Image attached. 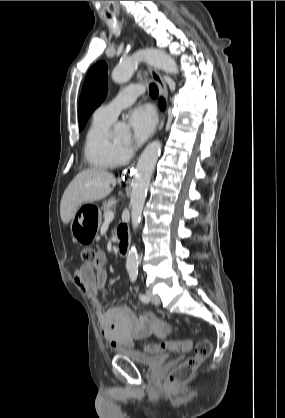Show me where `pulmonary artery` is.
I'll use <instances>...</instances> for the list:
<instances>
[{
	"mask_svg": "<svg viewBox=\"0 0 285 418\" xmlns=\"http://www.w3.org/2000/svg\"><path fill=\"white\" fill-rule=\"evenodd\" d=\"M141 84H134L123 90L113 101L97 108L94 116L109 122H114L118 113L131 105L143 93Z\"/></svg>",
	"mask_w": 285,
	"mask_h": 418,
	"instance_id": "pulmonary-artery-1",
	"label": "pulmonary artery"
}]
</instances>
